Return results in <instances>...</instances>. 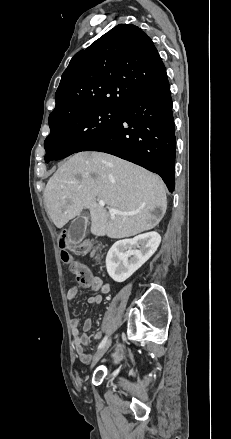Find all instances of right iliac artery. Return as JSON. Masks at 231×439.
Returning a JSON list of instances; mask_svg holds the SVG:
<instances>
[{
	"mask_svg": "<svg viewBox=\"0 0 231 439\" xmlns=\"http://www.w3.org/2000/svg\"><path fill=\"white\" fill-rule=\"evenodd\" d=\"M106 342H107V336H105V337L103 338V340L101 341V343H100L99 346H98V349H100L101 347H103V346L105 345Z\"/></svg>",
	"mask_w": 231,
	"mask_h": 439,
	"instance_id": "right-iliac-artery-1",
	"label": "right iliac artery"
}]
</instances>
